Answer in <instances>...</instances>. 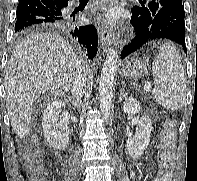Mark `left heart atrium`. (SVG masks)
Listing matches in <instances>:
<instances>
[{
    "mask_svg": "<svg viewBox=\"0 0 197 181\" xmlns=\"http://www.w3.org/2000/svg\"><path fill=\"white\" fill-rule=\"evenodd\" d=\"M116 18H117V13L111 11L110 13L107 14L106 20L109 24H113Z\"/></svg>",
    "mask_w": 197,
    "mask_h": 181,
    "instance_id": "obj_1",
    "label": "left heart atrium"
}]
</instances>
